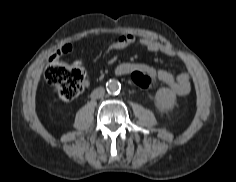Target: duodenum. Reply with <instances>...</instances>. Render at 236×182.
<instances>
[{
  "label": "duodenum",
  "mask_w": 236,
  "mask_h": 182,
  "mask_svg": "<svg viewBox=\"0 0 236 182\" xmlns=\"http://www.w3.org/2000/svg\"><path fill=\"white\" fill-rule=\"evenodd\" d=\"M127 70L128 69H127L126 66L120 67V68L117 69L116 74L117 75H124V74L127 73Z\"/></svg>",
  "instance_id": "duodenum-1"
}]
</instances>
